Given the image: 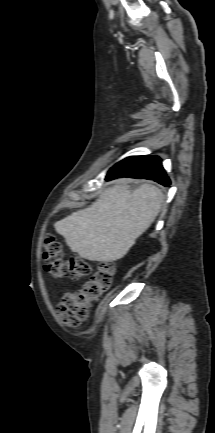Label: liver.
<instances>
[{"instance_id": "liver-1", "label": "liver", "mask_w": 215, "mask_h": 433, "mask_svg": "<svg viewBox=\"0 0 215 433\" xmlns=\"http://www.w3.org/2000/svg\"><path fill=\"white\" fill-rule=\"evenodd\" d=\"M164 202L161 190L144 183L131 192L127 184L107 188L88 208L56 222L72 252L84 259L113 262L123 258L154 222Z\"/></svg>"}]
</instances>
